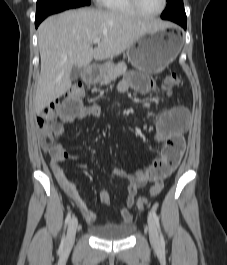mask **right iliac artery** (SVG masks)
<instances>
[{"mask_svg": "<svg viewBox=\"0 0 227 265\" xmlns=\"http://www.w3.org/2000/svg\"><path fill=\"white\" fill-rule=\"evenodd\" d=\"M71 216H72V214H71V212H69V213L67 214L66 219H65V227H64V231H65V229H66L68 223H69L70 220H71ZM64 241H65V235L63 234L62 241H61V248H63V246H64Z\"/></svg>", "mask_w": 227, "mask_h": 265, "instance_id": "right-iliac-artery-1", "label": "right iliac artery"}]
</instances>
